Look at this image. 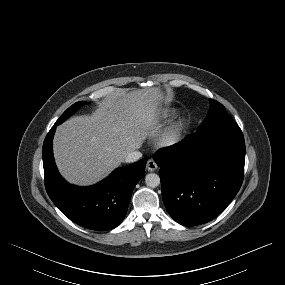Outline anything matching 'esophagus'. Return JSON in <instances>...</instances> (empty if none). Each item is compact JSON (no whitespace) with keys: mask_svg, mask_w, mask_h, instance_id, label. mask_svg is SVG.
<instances>
[{"mask_svg":"<svg viewBox=\"0 0 285 285\" xmlns=\"http://www.w3.org/2000/svg\"><path fill=\"white\" fill-rule=\"evenodd\" d=\"M148 171H155L157 169V164L153 159H149L146 165Z\"/></svg>","mask_w":285,"mask_h":285,"instance_id":"34e87169","label":"esophagus"}]
</instances>
